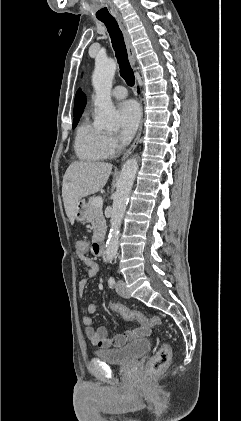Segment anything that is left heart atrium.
Returning a JSON list of instances; mask_svg holds the SVG:
<instances>
[{"label": "left heart atrium", "instance_id": "left-heart-atrium-1", "mask_svg": "<svg viewBox=\"0 0 241 421\" xmlns=\"http://www.w3.org/2000/svg\"><path fill=\"white\" fill-rule=\"evenodd\" d=\"M116 118L121 137L123 140H129L139 125L140 109L134 101H123L118 105Z\"/></svg>", "mask_w": 241, "mask_h": 421}]
</instances>
